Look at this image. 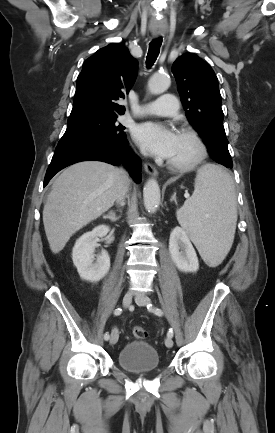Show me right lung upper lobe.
Instances as JSON below:
<instances>
[{
	"instance_id": "obj_1",
	"label": "right lung upper lobe",
	"mask_w": 275,
	"mask_h": 433,
	"mask_svg": "<svg viewBox=\"0 0 275 433\" xmlns=\"http://www.w3.org/2000/svg\"><path fill=\"white\" fill-rule=\"evenodd\" d=\"M137 70V61L121 43H112L99 49L83 64L69 118L123 114L125 107L116 101L129 92Z\"/></svg>"
}]
</instances>
